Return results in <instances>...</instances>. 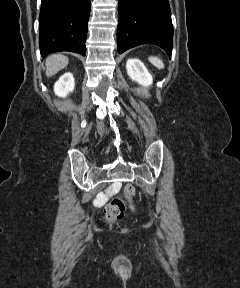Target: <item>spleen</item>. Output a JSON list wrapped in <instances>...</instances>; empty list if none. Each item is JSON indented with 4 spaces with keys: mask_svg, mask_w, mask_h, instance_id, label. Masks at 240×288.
<instances>
[{
    "mask_svg": "<svg viewBox=\"0 0 240 288\" xmlns=\"http://www.w3.org/2000/svg\"><path fill=\"white\" fill-rule=\"evenodd\" d=\"M149 60L158 69H163L164 68V63H163V61L160 58L155 57V56H151L149 58Z\"/></svg>",
    "mask_w": 240,
    "mask_h": 288,
    "instance_id": "1",
    "label": "spleen"
}]
</instances>
